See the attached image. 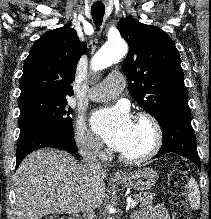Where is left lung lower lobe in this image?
Instances as JSON below:
<instances>
[{
	"label": "left lung lower lobe",
	"mask_w": 211,
	"mask_h": 219,
	"mask_svg": "<svg viewBox=\"0 0 211 219\" xmlns=\"http://www.w3.org/2000/svg\"><path fill=\"white\" fill-rule=\"evenodd\" d=\"M163 142L161 149L153 158L173 152L190 159L200 169L196 136L191 127L190 110H173L159 122Z\"/></svg>",
	"instance_id": "obj_1"
}]
</instances>
